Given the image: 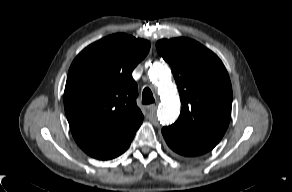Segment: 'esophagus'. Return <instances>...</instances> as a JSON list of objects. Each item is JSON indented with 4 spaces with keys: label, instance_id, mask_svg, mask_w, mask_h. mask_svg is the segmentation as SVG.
Wrapping results in <instances>:
<instances>
[{
    "label": "esophagus",
    "instance_id": "obj_1",
    "mask_svg": "<svg viewBox=\"0 0 292 192\" xmlns=\"http://www.w3.org/2000/svg\"><path fill=\"white\" fill-rule=\"evenodd\" d=\"M156 108H157V103L147 105V110L150 112L156 110Z\"/></svg>",
    "mask_w": 292,
    "mask_h": 192
}]
</instances>
